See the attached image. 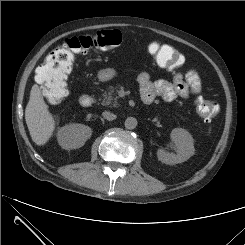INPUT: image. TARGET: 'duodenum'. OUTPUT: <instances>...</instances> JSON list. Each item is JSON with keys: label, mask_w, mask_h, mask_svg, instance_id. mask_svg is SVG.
Listing matches in <instances>:
<instances>
[{"label": "duodenum", "mask_w": 245, "mask_h": 245, "mask_svg": "<svg viewBox=\"0 0 245 245\" xmlns=\"http://www.w3.org/2000/svg\"><path fill=\"white\" fill-rule=\"evenodd\" d=\"M93 103V97L90 94H83L79 99V104L81 107L88 108Z\"/></svg>", "instance_id": "410a0bca"}]
</instances>
